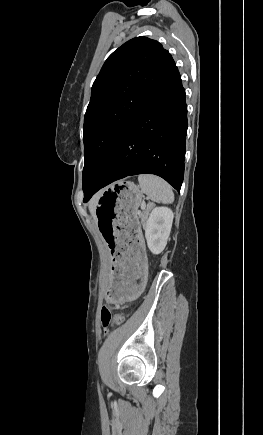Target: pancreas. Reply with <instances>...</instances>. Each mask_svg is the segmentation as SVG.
<instances>
[{
  "label": "pancreas",
  "mask_w": 263,
  "mask_h": 435,
  "mask_svg": "<svg viewBox=\"0 0 263 435\" xmlns=\"http://www.w3.org/2000/svg\"><path fill=\"white\" fill-rule=\"evenodd\" d=\"M151 208H152V204H148L146 206V208L142 212L139 213V217L141 219V223L143 226H145V223L147 221L149 211L151 210Z\"/></svg>",
  "instance_id": "cf45deb5"
}]
</instances>
